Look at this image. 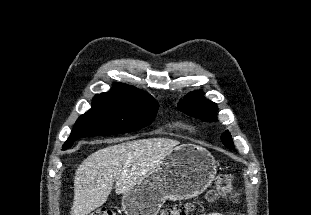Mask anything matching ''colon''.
<instances>
[{"label":"colon","mask_w":311,"mask_h":215,"mask_svg":"<svg viewBox=\"0 0 311 215\" xmlns=\"http://www.w3.org/2000/svg\"><path fill=\"white\" fill-rule=\"evenodd\" d=\"M240 190L233 185L230 174H221L217 177L215 185L206 193L205 199L213 201L219 195H230L233 200H237ZM194 206L190 203H175L160 212V215H189ZM90 215H115L113 211L107 208H98Z\"/></svg>","instance_id":"5ec220e1"}]
</instances>
